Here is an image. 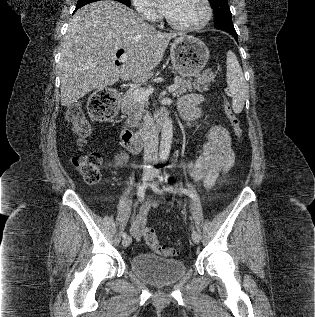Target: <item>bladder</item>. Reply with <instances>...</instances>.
<instances>
[{
    "label": "bladder",
    "instance_id": "31cf9c89",
    "mask_svg": "<svg viewBox=\"0 0 315 317\" xmlns=\"http://www.w3.org/2000/svg\"><path fill=\"white\" fill-rule=\"evenodd\" d=\"M130 268L144 281L164 286L178 281L186 273V265L178 259L151 253H137L129 261Z\"/></svg>",
    "mask_w": 315,
    "mask_h": 317
}]
</instances>
